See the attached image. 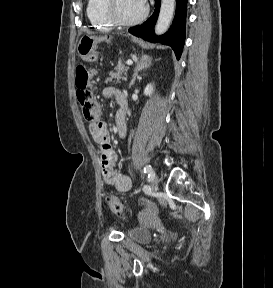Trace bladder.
I'll list each match as a JSON object with an SVG mask.
<instances>
[{"mask_svg": "<svg viewBox=\"0 0 273 288\" xmlns=\"http://www.w3.org/2000/svg\"><path fill=\"white\" fill-rule=\"evenodd\" d=\"M127 238L138 243H149L152 240V233L147 229L135 227L128 231Z\"/></svg>", "mask_w": 273, "mask_h": 288, "instance_id": "obj_1", "label": "bladder"}]
</instances>
